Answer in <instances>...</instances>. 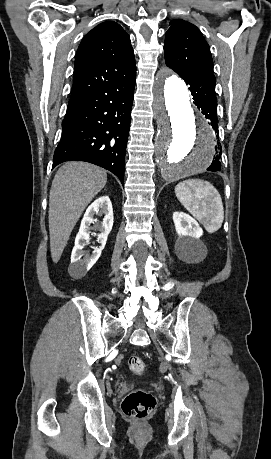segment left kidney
<instances>
[{
  "label": "left kidney",
  "mask_w": 271,
  "mask_h": 459,
  "mask_svg": "<svg viewBox=\"0 0 271 459\" xmlns=\"http://www.w3.org/2000/svg\"><path fill=\"white\" fill-rule=\"evenodd\" d=\"M173 222L179 235L176 247L180 251H196V241L201 229L198 222L184 212H174Z\"/></svg>",
  "instance_id": "5707ae66"
}]
</instances>
